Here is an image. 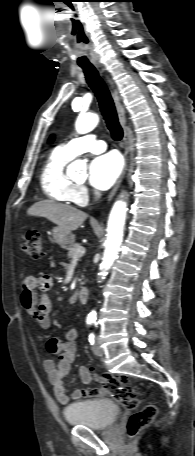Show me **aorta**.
<instances>
[{
  "instance_id": "aorta-1",
  "label": "aorta",
  "mask_w": 195,
  "mask_h": 456,
  "mask_svg": "<svg viewBox=\"0 0 195 456\" xmlns=\"http://www.w3.org/2000/svg\"><path fill=\"white\" fill-rule=\"evenodd\" d=\"M99 122L97 114H81L75 124L76 131L85 134L92 131ZM71 173H83L86 171V163L82 160H76L69 166ZM127 205L125 201L118 200L114 203L109 215L107 227V239L105 242V251L100 264L101 272L99 275L104 278L113 262L118 258V252L123 240V231L126 219ZM90 318L96 317L93 310L89 313Z\"/></svg>"
}]
</instances>
